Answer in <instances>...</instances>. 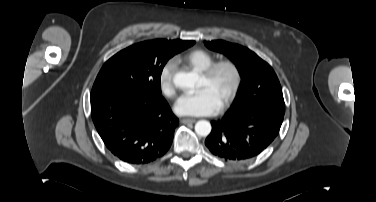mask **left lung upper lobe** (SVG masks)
I'll use <instances>...</instances> for the list:
<instances>
[{
	"mask_svg": "<svg viewBox=\"0 0 376 202\" xmlns=\"http://www.w3.org/2000/svg\"><path fill=\"white\" fill-rule=\"evenodd\" d=\"M214 51L227 55L235 63L242 78L239 101L231 109L239 113L251 106H263L285 113L279 80L271 66L251 50L223 40L204 41Z\"/></svg>",
	"mask_w": 376,
	"mask_h": 202,
	"instance_id": "left-lung-upper-lobe-1",
	"label": "left lung upper lobe"
}]
</instances>
